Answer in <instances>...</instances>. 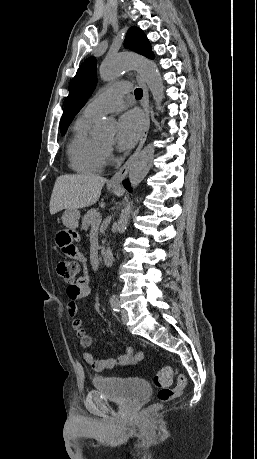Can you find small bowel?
<instances>
[{"label":"small bowel","mask_w":257,"mask_h":459,"mask_svg":"<svg viewBox=\"0 0 257 459\" xmlns=\"http://www.w3.org/2000/svg\"><path fill=\"white\" fill-rule=\"evenodd\" d=\"M79 229L58 230L55 236V243L59 244L60 251L69 264H86L87 256L85 249H82V235ZM68 302L66 304V314L72 319V328L80 342L82 348L86 349L94 342L93 338L87 334L83 322L77 318L78 302L87 301L90 296L88 277L84 273L66 288ZM144 354L142 351H134L132 347H126L124 353L117 356L101 360L95 358L90 352H83V359L95 371L101 372L112 369L116 366H130L142 360Z\"/></svg>","instance_id":"c3829d8e"}]
</instances>
